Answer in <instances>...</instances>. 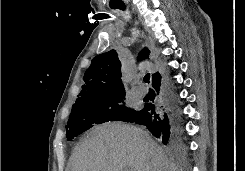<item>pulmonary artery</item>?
Masks as SVG:
<instances>
[{"label":"pulmonary artery","instance_id":"pulmonary-artery-1","mask_svg":"<svg viewBox=\"0 0 245 171\" xmlns=\"http://www.w3.org/2000/svg\"><path fill=\"white\" fill-rule=\"evenodd\" d=\"M133 92L138 97H142L147 93V89L144 86H137L133 89Z\"/></svg>","mask_w":245,"mask_h":171}]
</instances>
